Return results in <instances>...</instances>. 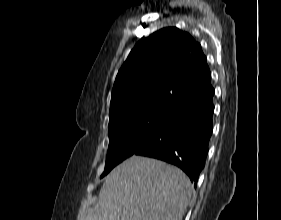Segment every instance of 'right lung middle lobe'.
<instances>
[{
  "instance_id": "right-lung-middle-lobe-1",
  "label": "right lung middle lobe",
  "mask_w": 281,
  "mask_h": 220,
  "mask_svg": "<svg viewBox=\"0 0 281 220\" xmlns=\"http://www.w3.org/2000/svg\"><path fill=\"white\" fill-rule=\"evenodd\" d=\"M168 116L165 113H143L124 116L109 123V147L101 178L144 145Z\"/></svg>"
}]
</instances>
